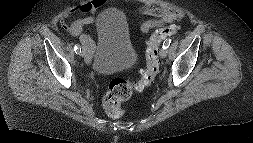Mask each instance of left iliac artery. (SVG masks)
<instances>
[{
    "instance_id": "1",
    "label": "left iliac artery",
    "mask_w": 253,
    "mask_h": 143,
    "mask_svg": "<svg viewBox=\"0 0 253 143\" xmlns=\"http://www.w3.org/2000/svg\"><path fill=\"white\" fill-rule=\"evenodd\" d=\"M170 43H171V39H167L166 41H164L163 49H167L170 46Z\"/></svg>"
}]
</instances>
